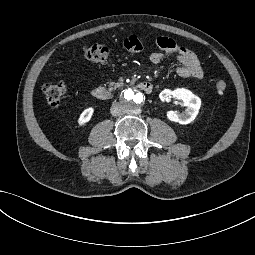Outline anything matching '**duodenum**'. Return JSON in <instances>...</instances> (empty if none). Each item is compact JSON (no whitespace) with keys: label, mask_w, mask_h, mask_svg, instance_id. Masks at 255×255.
Wrapping results in <instances>:
<instances>
[{"label":"duodenum","mask_w":255,"mask_h":255,"mask_svg":"<svg viewBox=\"0 0 255 255\" xmlns=\"http://www.w3.org/2000/svg\"><path fill=\"white\" fill-rule=\"evenodd\" d=\"M138 87L142 91H144L145 93H151V91L153 89L152 84L150 82H147V81L138 83ZM91 95L95 99H98V100H101V101L109 100L112 97L111 92L108 89L103 88V87L94 88L91 91Z\"/></svg>","instance_id":"1"}]
</instances>
